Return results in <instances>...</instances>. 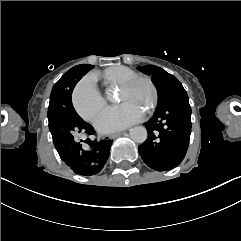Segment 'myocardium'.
Listing matches in <instances>:
<instances>
[{
  "label": "myocardium",
  "mask_w": 241,
  "mask_h": 241,
  "mask_svg": "<svg viewBox=\"0 0 241 241\" xmlns=\"http://www.w3.org/2000/svg\"><path fill=\"white\" fill-rule=\"evenodd\" d=\"M139 78H147V73H135L126 76L122 81V86H129L130 84L138 81ZM148 80H152V84L154 85L153 97L151 104H149V109H154V106H156V102L158 100L159 93L158 79H153V75H148Z\"/></svg>",
  "instance_id": "obj_1"
}]
</instances>
